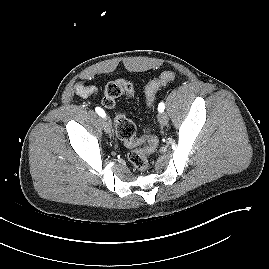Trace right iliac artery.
Returning <instances> with one entry per match:
<instances>
[{
    "label": "right iliac artery",
    "instance_id": "1",
    "mask_svg": "<svg viewBox=\"0 0 269 269\" xmlns=\"http://www.w3.org/2000/svg\"><path fill=\"white\" fill-rule=\"evenodd\" d=\"M95 111H96L97 114H98L99 116H101V117H105V116H106L104 110H103L102 108H100V107H96V108H95Z\"/></svg>",
    "mask_w": 269,
    "mask_h": 269
}]
</instances>
